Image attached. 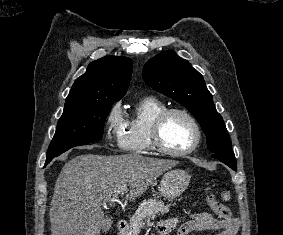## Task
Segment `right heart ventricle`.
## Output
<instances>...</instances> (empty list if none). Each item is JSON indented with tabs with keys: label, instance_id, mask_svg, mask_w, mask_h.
<instances>
[{
	"label": "right heart ventricle",
	"instance_id": "1",
	"mask_svg": "<svg viewBox=\"0 0 283 235\" xmlns=\"http://www.w3.org/2000/svg\"><path fill=\"white\" fill-rule=\"evenodd\" d=\"M167 105L156 97H144L131 109L120 135L119 145L125 152L149 153L153 151L150 132L155 118Z\"/></svg>",
	"mask_w": 283,
	"mask_h": 235
}]
</instances>
